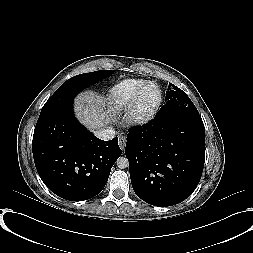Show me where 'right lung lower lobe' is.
<instances>
[{"instance_id": "obj_1", "label": "right lung lower lobe", "mask_w": 253, "mask_h": 253, "mask_svg": "<svg viewBox=\"0 0 253 253\" xmlns=\"http://www.w3.org/2000/svg\"><path fill=\"white\" fill-rule=\"evenodd\" d=\"M32 151L45 185L71 201H83L99 194L122 153L117 137L100 140L79 123L73 114V102L40 114Z\"/></svg>"}]
</instances>
